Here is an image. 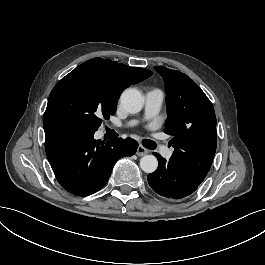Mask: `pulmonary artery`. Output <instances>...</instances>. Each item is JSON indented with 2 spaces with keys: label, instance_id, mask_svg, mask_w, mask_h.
Listing matches in <instances>:
<instances>
[{
  "label": "pulmonary artery",
  "instance_id": "1",
  "mask_svg": "<svg viewBox=\"0 0 265 265\" xmlns=\"http://www.w3.org/2000/svg\"><path fill=\"white\" fill-rule=\"evenodd\" d=\"M166 97L161 89L154 87L145 94L146 112L150 116H156L160 112V105L164 104ZM136 124V121H131L128 126Z\"/></svg>",
  "mask_w": 265,
  "mask_h": 265
}]
</instances>
